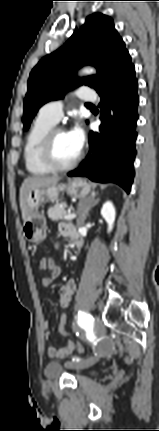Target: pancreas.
Returning a JSON list of instances; mask_svg holds the SVG:
<instances>
[{"mask_svg": "<svg viewBox=\"0 0 159 431\" xmlns=\"http://www.w3.org/2000/svg\"><path fill=\"white\" fill-rule=\"evenodd\" d=\"M66 208L67 204L65 202L57 203L48 209V217L53 221L61 220L67 214Z\"/></svg>", "mask_w": 159, "mask_h": 431, "instance_id": "1", "label": "pancreas"}]
</instances>
